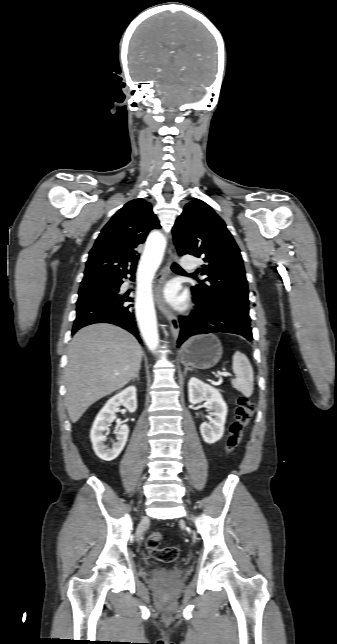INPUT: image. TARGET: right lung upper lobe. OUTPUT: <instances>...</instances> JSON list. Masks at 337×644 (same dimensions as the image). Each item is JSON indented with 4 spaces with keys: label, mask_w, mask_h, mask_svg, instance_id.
Wrapping results in <instances>:
<instances>
[{
    "label": "right lung upper lobe",
    "mask_w": 337,
    "mask_h": 644,
    "mask_svg": "<svg viewBox=\"0 0 337 644\" xmlns=\"http://www.w3.org/2000/svg\"><path fill=\"white\" fill-rule=\"evenodd\" d=\"M150 203L134 199L118 210L104 226L89 253L82 282L117 279L139 259L136 248L152 229L160 228Z\"/></svg>",
    "instance_id": "cb5924a9"
}]
</instances>
